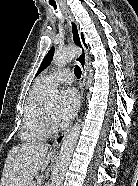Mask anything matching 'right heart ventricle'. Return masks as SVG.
<instances>
[{
  "mask_svg": "<svg viewBox=\"0 0 138 186\" xmlns=\"http://www.w3.org/2000/svg\"><path fill=\"white\" fill-rule=\"evenodd\" d=\"M47 85L39 81L32 89L25 105L22 123L19 130L20 139L25 143H35L45 140L49 131L43 124V93Z\"/></svg>",
  "mask_w": 138,
  "mask_h": 186,
  "instance_id": "right-heart-ventricle-1",
  "label": "right heart ventricle"
}]
</instances>
